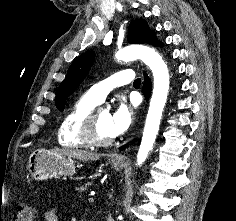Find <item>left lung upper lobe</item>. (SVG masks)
Returning <instances> with one entry per match:
<instances>
[{"label":"left lung upper lobe","instance_id":"5c2ea615","mask_svg":"<svg viewBox=\"0 0 236 221\" xmlns=\"http://www.w3.org/2000/svg\"><path fill=\"white\" fill-rule=\"evenodd\" d=\"M157 40L153 31H150L147 23L142 19L134 20L130 23L128 30V41L132 44H142ZM93 51L84 53L74 60L69 67L67 76L60 84L56 95V106L59 110L64 109L66 99L75 91L88 74L94 61Z\"/></svg>","mask_w":236,"mask_h":221}]
</instances>
